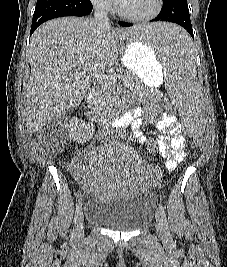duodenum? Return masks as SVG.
I'll use <instances>...</instances> for the list:
<instances>
[{"mask_svg": "<svg viewBox=\"0 0 227 267\" xmlns=\"http://www.w3.org/2000/svg\"><path fill=\"white\" fill-rule=\"evenodd\" d=\"M85 102L89 112L99 121H107L110 119L108 112L97 106L96 92L94 89H89L85 96Z\"/></svg>", "mask_w": 227, "mask_h": 267, "instance_id": "410a0bca", "label": "duodenum"}]
</instances>
